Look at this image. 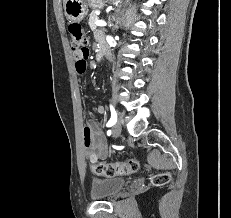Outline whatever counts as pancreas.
<instances>
[{"label": "pancreas", "instance_id": "1", "mask_svg": "<svg viewBox=\"0 0 231 218\" xmlns=\"http://www.w3.org/2000/svg\"><path fill=\"white\" fill-rule=\"evenodd\" d=\"M98 16L96 15V10L92 11L90 13V17H89V26L92 30H95L97 28L95 22L98 20Z\"/></svg>", "mask_w": 231, "mask_h": 218}]
</instances>
